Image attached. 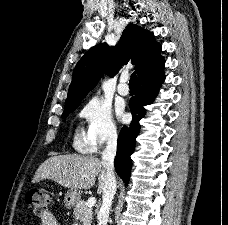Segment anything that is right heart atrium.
Segmentation results:
<instances>
[{
	"label": "right heart atrium",
	"instance_id": "obj_1",
	"mask_svg": "<svg viewBox=\"0 0 228 225\" xmlns=\"http://www.w3.org/2000/svg\"><path fill=\"white\" fill-rule=\"evenodd\" d=\"M78 115L84 124L83 136L94 150L117 140L118 131L111 111L97 100L85 103Z\"/></svg>",
	"mask_w": 228,
	"mask_h": 225
}]
</instances>
